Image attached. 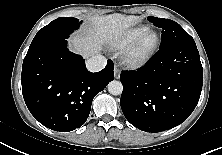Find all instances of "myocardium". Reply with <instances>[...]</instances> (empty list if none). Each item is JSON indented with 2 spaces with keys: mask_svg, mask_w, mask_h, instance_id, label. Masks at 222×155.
I'll return each instance as SVG.
<instances>
[{
  "mask_svg": "<svg viewBox=\"0 0 222 155\" xmlns=\"http://www.w3.org/2000/svg\"><path fill=\"white\" fill-rule=\"evenodd\" d=\"M149 38H153L150 45L146 46ZM160 44V36L154 30H148L124 52L123 63L131 69L144 67L154 56Z\"/></svg>",
  "mask_w": 222,
  "mask_h": 155,
  "instance_id": "1",
  "label": "myocardium"
}]
</instances>
